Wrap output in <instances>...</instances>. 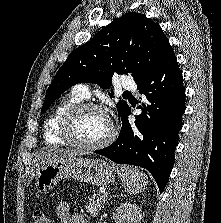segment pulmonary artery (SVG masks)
<instances>
[{
    "instance_id": "1",
    "label": "pulmonary artery",
    "mask_w": 221,
    "mask_h": 223,
    "mask_svg": "<svg viewBox=\"0 0 221 223\" xmlns=\"http://www.w3.org/2000/svg\"><path fill=\"white\" fill-rule=\"evenodd\" d=\"M121 86L124 89L135 90L136 83L133 79L125 77L121 80ZM73 91L80 95L82 98H88L90 95L89 85L85 83H79L75 85Z\"/></svg>"
}]
</instances>
